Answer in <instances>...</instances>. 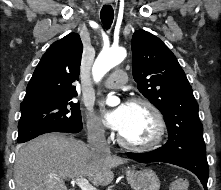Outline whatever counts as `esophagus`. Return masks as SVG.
<instances>
[{
	"mask_svg": "<svg viewBox=\"0 0 221 190\" xmlns=\"http://www.w3.org/2000/svg\"><path fill=\"white\" fill-rule=\"evenodd\" d=\"M104 3L109 4L111 3V0H104Z\"/></svg>",
	"mask_w": 221,
	"mask_h": 190,
	"instance_id": "1",
	"label": "esophagus"
}]
</instances>
